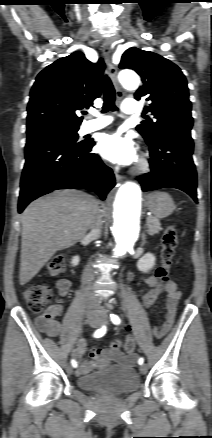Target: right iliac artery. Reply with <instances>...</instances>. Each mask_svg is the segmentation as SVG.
Instances as JSON below:
<instances>
[{
    "label": "right iliac artery",
    "mask_w": 212,
    "mask_h": 438,
    "mask_svg": "<svg viewBox=\"0 0 212 438\" xmlns=\"http://www.w3.org/2000/svg\"><path fill=\"white\" fill-rule=\"evenodd\" d=\"M106 333V326H102L101 328L97 329L94 333V337L95 338H100L102 336H104ZM71 364L74 368L77 367V362L75 360H71Z\"/></svg>",
    "instance_id": "right-iliac-artery-1"
}]
</instances>
